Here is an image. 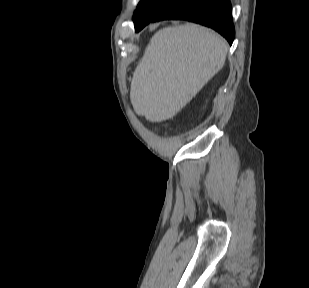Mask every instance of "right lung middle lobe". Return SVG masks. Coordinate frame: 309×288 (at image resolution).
Wrapping results in <instances>:
<instances>
[{
	"mask_svg": "<svg viewBox=\"0 0 309 288\" xmlns=\"http://www.w3.org/2000/svg\"><path fill=\"white\" fill-rule=\"evenodd\" d=\"M178 0H141L135 11L133 21L135 31L139 32L162 10L173 5Z\"/></svg>",
	"mask_w": 309,
	"mask_h": 288,
	"instance_id": "obj_1",
	"label": "right lung middle lobe"
}]
</instances>
